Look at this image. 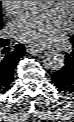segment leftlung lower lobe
I'll use <instances>...</instances> for the list:
<instances>
[{"mask_svg":"<svg viewBox=\"0 0 74 122\" xmlns=\"http://www.w3.org/2000/svg\"><path fill=\"white\" fill-rule=\"evenodd\" d=\"M74 48V36L70 38ZM54 85L63 92L74 93V49L72 53L66 54L65 65L62 69L51 74Z\"/></svg>","mask_w":74,"mask_h":122,"instance_id":"1","label":"left lung lower lobe"}]
</instances>
